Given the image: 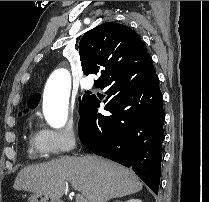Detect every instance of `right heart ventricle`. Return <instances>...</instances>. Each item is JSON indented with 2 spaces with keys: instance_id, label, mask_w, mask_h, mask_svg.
Instances as JSON below:
<instances>
[{
  "instance_id": "e07e8e85",
  "label": "right heart ventricle",
  "mask_w": 209,
  "mask_h": 202,
  "mask_svg": "<svg viewBox=\"0 0 209 202\" xmlns=\"http://www.w3.org/2000/svg\"><path fill=\"white\" fill-rule=\"evenodd\" d=\"M28 145V153L31 158L43 159L49 156L39 143L38 133L33 130L29 134Z\"/></svg>"
}]
</instances>
